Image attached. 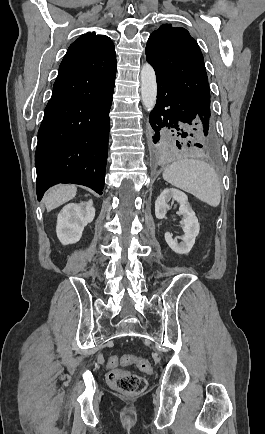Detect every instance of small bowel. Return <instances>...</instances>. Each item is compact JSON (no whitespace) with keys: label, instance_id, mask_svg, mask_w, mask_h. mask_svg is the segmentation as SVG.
<instances>
[{"label":"small bowel","instance_id":"1","mask_svg":"<svg viewBox=\"0 0 265 434\" xmlns=\"http://www.w3.org/2000/svg\"><path fill=\"white\" fill-rule=\"evenodd\" d=\"M121 364L119 361L113 360L112 357L107 361V368L112 369ZM122 365V364H121Z\"/></svg>","mask_w":265,"mask_h":434}]
</instances>
